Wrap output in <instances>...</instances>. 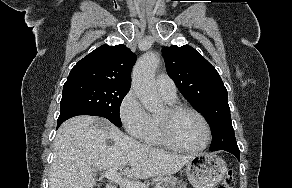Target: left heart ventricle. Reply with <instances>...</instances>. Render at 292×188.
I'll return each instance as SVG.
<instances>
[{"instance_id":"1","label":"left heart ventricle","mask_w":292,"mask_h":188,"mask_svg":"<svg viewBox=\"0 0 292 188\" xmlns=\"http://www.w3.org/2000/svg\"><path fill=\"white\" fill-rule=\"evenodd\" d=\"M164 109L158 117H164ZM172 133L183 146L194 148L202 145L206 138V131L202 121L194 114L185 112L172 121Z\"/></svg>"}]
</instances>
